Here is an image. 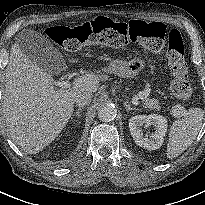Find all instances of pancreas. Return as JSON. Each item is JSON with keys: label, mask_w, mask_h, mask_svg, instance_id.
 <instances>
[{"label": "pancreas", "mask_w": 205, "mask_h": 205, "mask_svg": "<svg viewBox=\"0 0 205 205\" xmlns=\"http://www.w3.org/2000/svg\"><path fill=\"white\" fill-rule=\"evenodd\" d=\"M148 93H149L148 89L141 92L140 97L142 98L143 107L149 110L160 111L161 106L159 105V101L155 99H150L149 97H147Z\"/></svg>", "instance_id": "obj_1"}]
</instances>
